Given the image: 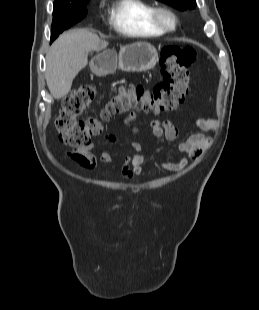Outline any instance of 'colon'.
Masks as SVG:
<instances>
[{
    "label": "colon",
    "instance_id": "5ec220e1",
    "mask_svg": "<svg viewBox=\"0 0 259 310\" xmlns=\"http://www.w3.org/2000/svg\"><path fill=\"white\" fill-rule=\"evenodd\" d=\"M197 59V51L190 46H165L159 66L162 81L151 90L142 85L121 87L106 103L99 118L81 119L96 96V88L83 85L73 90L63 102L56 128L60 140L71 147L88 146L102 130V120L131 111L159 114L176 109L183 103L190 86V68Z\"/></svg>",
    "mask_w": 259,
    "mask_h": 310
}]
</instances>
